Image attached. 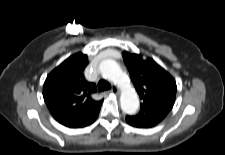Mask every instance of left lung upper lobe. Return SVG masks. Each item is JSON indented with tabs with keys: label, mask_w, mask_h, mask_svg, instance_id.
<instances>
[{
	"label": "left lung upper lobe",
	"mask_w": 225,
	"mask_h": 155,
	"mask_svg": "<svg viewBox=\"0 0 225 155\" xmlns=\"http://www.w3.org/2000/svg\"><path fill=\"white\" fill-rule=\"evenodd\" d=\"M123 59L142 100L139 113L128 117L134 127H153L171 111L176 97V82L153 59L145 60L140 54L126 51L123 52Z\"/></svg>",
	"instance_id": "1"
}]
</instances>
